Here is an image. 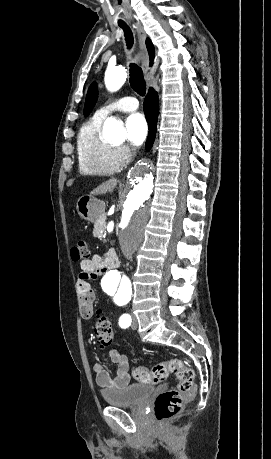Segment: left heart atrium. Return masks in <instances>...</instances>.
<instances>
[{
    "label": "left heart atrium",
    "mask_w": 271,
    "mask_h": 459,
    "mask_svg": "<svg viewBox=\"0 0 271 459\" xmlns=\"http://www.w3.org/2000/svg\"><path fill=\"white\" fill-rule=\"evenodd\" d=\"M127 141L132 146H140L147 137L148 127L144 117L135 113L127 118Z\"/></svg>",
    "instance_id": "left-heart-atrium-1"
}]
</instances>
